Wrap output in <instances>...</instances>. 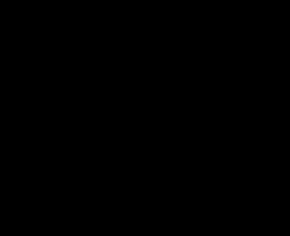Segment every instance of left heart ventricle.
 Listing matches in <instances>:
<instances>
[{
    "instance_id": "obj_1",
    "label": "left heart ventricle",
    "mask_w": 290,
    "mask_h": 236,
    "mask_svg": "<svg viewBox=\"0 0 290 236\" xmlns=\"http://www.w3.org/2000/svg\"><path fill=\"white\" fill-rule=\"evenodd\" d=\"M197 86L196 73L185 68L174 84L156 99L157 105L167 112H180L192 100Z\"/></svg>"
}]
</instances>
